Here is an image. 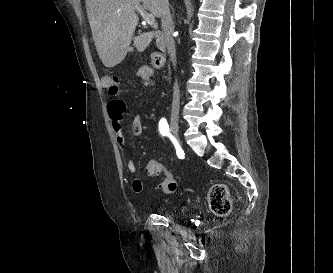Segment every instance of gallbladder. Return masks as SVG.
Listing matches in <instances>:
<instances>
[{"mask_svg":"<svg viewBox=\"0 0 333 273\" xmlns=\"http://www.w3.org/2000/svg\"><path fill=\"white\" fill-rule=\"evenodd\" d=\"M134 43L139 51H143L149 44V39L144 35H140L134 38Z\"/></svg>","mask_w":333,"mask_h":273,"instance_id":"bac80fb5","label":"gallbladder"}]
</instances>
